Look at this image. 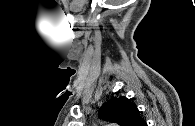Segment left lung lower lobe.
<instances>
[{
    "label": "left lung lower lobe",
    "instance_id": "1",
    "mask_svg": "<svg viewBox=\"0 0 195 126\" xmlns=\"http://www.w3.org/2000/svg\"><path fill=\"white\" fill-rule=\"evenodd\" d=\"M141 126H147V124L144 122Z\"/></svg>",
    "mask_w": 195,
    "mask_h": 126
}]
</instances>
